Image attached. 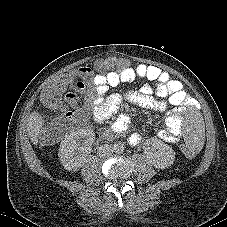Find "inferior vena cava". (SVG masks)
Instances as JSON below:
<instances>
[{"label": "inferior vena cava", "instance_id": "obj_1", "mask_svg": "<svg viewBox=\"0 0 227 227\" xmlns=\"http://www.w3.org/2000/svg\"><path fill=\"white\" fill-rule=\"evenodd\" d=\"M112 153L113 148L108 144H104L98 148V156L100 158H108L109 156L112 155Z\"/></svg>", "mask_w": 227, "mask_h": 227}]
</instances>
